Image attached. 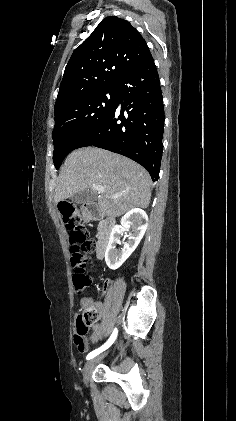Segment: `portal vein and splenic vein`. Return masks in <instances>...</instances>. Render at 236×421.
Returning <instances> with one entry per match:
<instances>
[{"instance_id":"18ae733b","label":"portal vein and splenic vein","mask_w":236,"mask_h":421,"mask_svg":"<svg viewBox=\"0 0 236 421\" xmlns=\"http://www.w3.org/2000/svg\"><path fill=\"white\" fill-rule=\"evenodd\" d=\"M92 188H96V190H104L102 184H92ZM120 196H123V194H112V196H109V198H120Z\"/></svg>"}]
</instances>
